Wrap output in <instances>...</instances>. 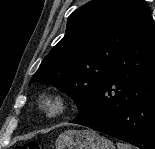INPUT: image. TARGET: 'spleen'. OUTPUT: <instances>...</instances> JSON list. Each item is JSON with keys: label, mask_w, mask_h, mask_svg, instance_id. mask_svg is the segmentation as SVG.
I'll return each instance as SVG.
<instances>
[{"label": "spleen", "mask_w": 155, "mask_h": 149, "mask_svg": "<svg viewBox=\"0 0 155 149\" xmlns=\"http://www.w3.org/2000/svg\"><path fill=\"white\" fill-rule=\"evenodd\" d=\"M117 148L118 149H133L131 145L126 144V143H121V142L117 143Z\"/></svg>", "instance_id": "spleen-1"}]
</instances>
